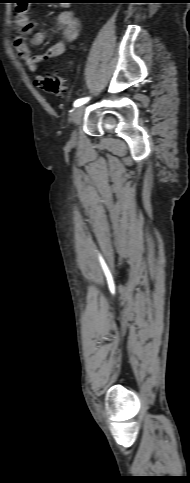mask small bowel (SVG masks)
Listing matches in <instances>:
<instances>
[{"instance_id":"c3829d8e","label":"small bowel","mask_w":190,"mask_h":483,"mask_svg":"<svg viewBox=\"0 0 190 483\" xmlns=\"http://www.w3.org/2000/svg\"><path fill=\"white\" fill-rule=\"evenodd\" d=\"M28 16L29 13L26 7L22 6L17 10L15 16L16 34L13 45L17 57L31 72H35L40 62L61 56L66 51L67 44L76 40L80 31V22L72 11H61L57 17V24L63 29V39L52 45L44 53L33 55L25 41V36L31 33L34 28V24ZM46 37V32H36L33 35L32 42L35 45H40L45 41Z\"/></svg>"}]
</instances>
